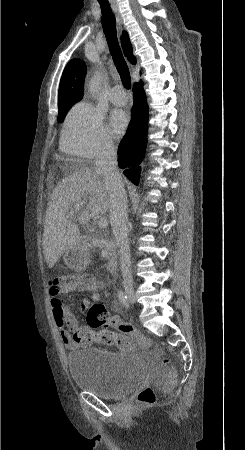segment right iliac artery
Instances as JSON below:
<instances>
[{
  "label": "right iliac artery",
  "mask_w": 245,
  "mask_h": 450,
  "mask_svg": "<svg viewBox=\"0 0 245 450\" xmlns=\"http://www.w3.org/2000/svg\"><path fill=\"white\" fill-rule=\"evenodd\" d=\"M118 298L123 305L127 306V296L124 294L123 291L120 290L118 292Z\"/></svg>",
  "instance_id": "right-iliac-artery-1"
}]
</instances>
